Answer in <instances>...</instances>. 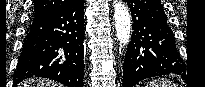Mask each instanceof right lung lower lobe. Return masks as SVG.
<instances>
[{
  "label": "right lung lower lobe",
  "instance_id": "obj_1",
  "mask_svg": "<svg viewBox=\"0 0 205 87\" xmlns=\"http://www.w3.org/2000/svg\"><path fill=\"white\" fill-rule=\"evenodd\" d=\"M84 0L34 17L23 43L13 86L33 76L83 87Z\"/></svg>",
  "mask_w": 205,
  "mask_h": 87
}]
</instances>
